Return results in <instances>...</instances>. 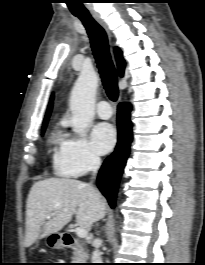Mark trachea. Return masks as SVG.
Masks as SVG:
<instances>
[{"instance_id":"3493384b","label":"trachea","mask_w":205,"mask_h":265,"mask_svg":"<svg viewBox=\"0 0 205 265\" xmlns=\"http://www.w3.org/2000/svg\"><path fill=\"white\" fill-rule=\"evenodd\" d=\"M90 38L93 55L102 79L104 89L112 101L118 97L117 74L109 52L108 38L105 30L90 14H77Z\"/></svg>"}]
</instances>
